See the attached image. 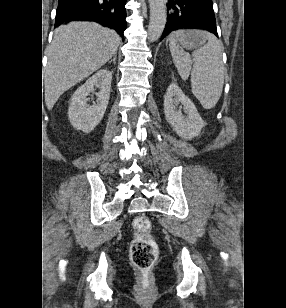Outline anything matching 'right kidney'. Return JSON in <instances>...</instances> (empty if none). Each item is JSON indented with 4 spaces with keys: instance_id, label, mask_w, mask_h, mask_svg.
<instances>
[{
    "instance_id": "1",
    "label": "right kidney",
    "mask_w": 286,
    "mask_h": 308,
    "mask_svg": "<svg viewBox=\"0 0 286 308\" xmlns=\"http://www.w3.org/2000/svg\"><path fill=\"white\" fill-rule=\"evenodd\" d=\"M111 81L112 72L102 69L74 92L69 103L68 117L75 129L90 133L101 122L109 102ZM94 87L99 89L97 100L93 105H88L87 96Z\"/></svg>"
}]
</instances>
